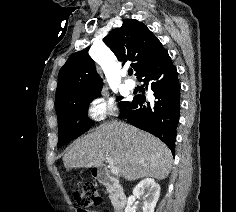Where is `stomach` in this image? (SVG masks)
Here are the masks:
<instances>
[{
	"instance_id": "stomach-1",
	"label": "stomach",
	"mask_w": 236,
	"mask_h": 212,
	"mask_svg": "<svg viewBox=\"0 0 236 212\" xmlns=\"http://www.w3.org/2000/svg\"><path fill=\"white\" fill-rule=\"evenodd\" d=\"M92 173H93V174H92L93 176H97V169L93 168V169H92Z\"/></svg>"
}]
</instances>
